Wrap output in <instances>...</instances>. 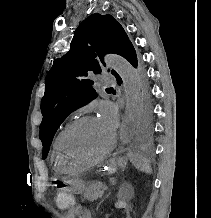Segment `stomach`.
Segmentation results:
<instances>
[{"label": "stomach", "mask_w": 211, "mask_h": 218, "mask_svg": "<svg viewBox=\"0 0 211 218\" xmlns=\"http://www.w3.org/2000/svg\"><path fill=\"white\" fill-rule=\"evenodd\" d=\"M126 165L125 160L119 159L117 161H110L107 167L104 169L108 174L115 173L118 168H122ZM65 184L68 185L69 190L73 193L80 194L86 190L85 182L79 177H68L65 180Z\"/></svg>", "instance_id": "stomach-1"}]
</instances>
